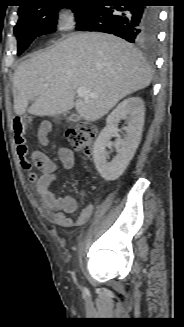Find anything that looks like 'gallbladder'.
<instances>
[{
  "mask_svg": "<svg viewBox=\"0 0 184 327\" xmlns=\"http://www.w3.org/2000/svg\"><path fill=\"white\" fill-rule=\"evenodd\" d=\"M70 121L72 122H76L80 119L79 115L75 114V113H72L69 118H68Z\"/></svg>",
  "mask_w": 184,
  "mask_h": 327,
  "instance_id": "bac80fb5",
  "label": "gallbladder"
}]
</instances>
